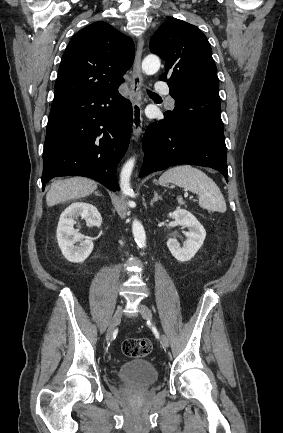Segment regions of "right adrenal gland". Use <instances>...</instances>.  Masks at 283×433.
<instances>
[{
  "instance_id": "1",
  "label": "right adrenal gland",
  "mask_w": 283,
  "mask_h": 433,
  "mask_svg": "<svg viewBox=\"0 0 283 433\" xmlns=\"http://www.w3.org/2000/svg\"><path fill=\"white\" fill-rule=\"evenodd\" d=\"M94 194H97V196H102V194H99V190H95Z\"/></svg>"
}]
</instances>
